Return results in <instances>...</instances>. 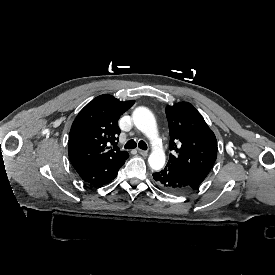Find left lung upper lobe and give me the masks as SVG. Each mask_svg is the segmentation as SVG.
I'll return each instance as SVG.
<instances>
[{
  "label": "left lung upper lobe",
  "instance_id": "5c2ea615",
  "mask_svg": "<svg viewBox=\"0 0 275 275\" xmlns=\"http://www.w3.org/2000/svg\"><path fill=\"white\" fill-rule=\"evenodd\" d=\"M170 130L167 166L193 189L199 186L217 157V140L196 108L188 102L166 107Z\"/></svg>",
  "mask_w": 275,
  "mask_h": 275
}]
</instances>
